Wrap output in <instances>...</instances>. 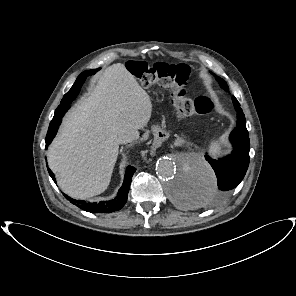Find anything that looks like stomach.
<instances>
[{"instance_id":"stomach-1","label":"stomach","mask_w":296,"mask_h":296,"mask_svg":"<svg viewBox=\"0 0 296 296\" xmlns=\"http://www.w3.org/2000/svg\"><path fill=\"white\" fill-rule=\"evenodd\" d=\"M168 137V130L163 125H156L152 129L150 148L153 151L160 150L164 140Z\"/></svg>"}]
</instances>
